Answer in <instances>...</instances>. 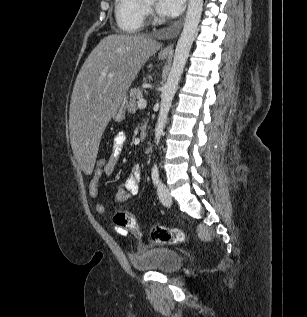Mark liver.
Wrapping results in <instances>:
<instances>
[{
	"mask_svg": "<svg viewBox=\"0 0 307 317\" xmlns=\"http://www.w3.org/2000/svg\"><path fill=\"white\" fill-rule=\"evenodd\" d=\"M160 47L146 36L111 34L100 41L82 65L71 96L69 130L83 175H92L101 136L118 103Z\"/></svg>",
	"mask_w": 307,
	"mask_h": 317,
	"instance_id": "obj_1",
	"label": "liver"
}]
</instances>
